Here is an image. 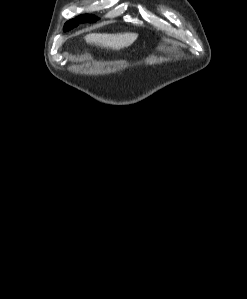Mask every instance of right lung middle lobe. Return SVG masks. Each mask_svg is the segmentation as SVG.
I'll list each match as a JSON object with an SVG mask.
<instances>
[{
    "label": "right lung middle lobe",
    "mask_w": 247,
    "mask_h": 299,
    "mask_svg": "<svg viewBox=\"0 0 247 299\" xmlns=\"http://www.w3.org/2000/svg\"><path fill=\"white\" fill-rule=\"evenodd\" d=\"M97 19L98 18L94 15H89V14L81 15L77 18L67 21L64 26V31H68V30L78 26V24H80V23L95 22V21H97Z\"/></svg>",
    "instance_id": "obj_1"
}]
</instances>
